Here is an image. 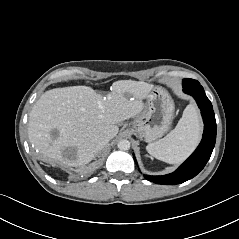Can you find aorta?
Returning a JSON list of instances; mask_svg holds the SVG:
<instances>
[{"label":"aorta","mask_w":239,"mask_h":239,"mask_svg":"<svg viewBox=\"0 0 239 239\" xmlns=\"http://www.w3.org/2000/svg\"><path fill=\"white\" fill-rule=\"evenodd\" d=\"M117 147L120 149V150H129L130 148V141L127 140V139H122L118 142L117 144Z\"/></svg>","instance_id":"obj_1"}]
</instances>
